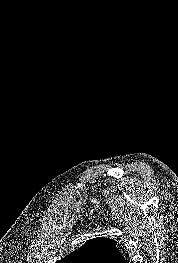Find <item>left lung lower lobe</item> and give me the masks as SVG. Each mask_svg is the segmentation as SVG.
<instances>
[{
    "label": "left lung lower lobe",
    "mask_w": 178,
    "mask_h": 263,
    "mask_svg": "<svg viewBox=\"0 0 178 263\" xmlns=\"http://www.w3.org/2000/svg\"><path fill=\"white\" fill-rule=\"evenodd\" d=\"M110 263H128L127 259L120 254L116 258H114Z\"/></svg>",
    "instance_id": "0a47b994"
}]
</instances>
